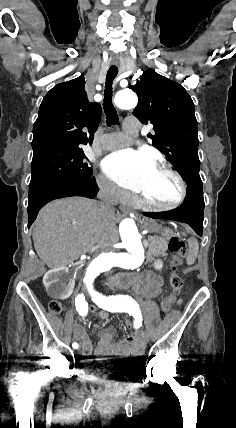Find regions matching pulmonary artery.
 <instances>
[{
  "label": "pulmonary artery",
  "instance_id": "1",
  "mask_svg": "<svg viewBox=\"0 0 236 428\" xmlns=\"http://www.w3.org/2000/svg\"><path fill=\"white\" fill-rule=\"evenodd\" d=\"M113 135L123 137V139L126 138V134L124 132H117V133H114ZM127 145L128 143H123V144L107 143L104 145L103 148L105 150H112V149L120 148Z\"/></svg>",
  "mask_w": 236,
  "mask_h": 428
}]
</instances>
